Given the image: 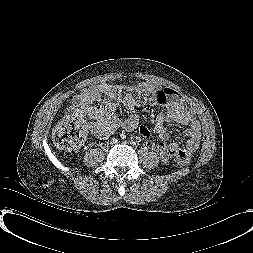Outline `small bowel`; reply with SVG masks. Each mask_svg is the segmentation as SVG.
<instances>
[{
  "label": "small bowel",
  "instance_id": "c3829d8e",
  "mask_svg": "<svg viewBox=\"0 0 253 253\" xmlns=\"http://www.w3.org/2000/svg\"><path fill=\"white\" fill-rule=\"evenodd\" d=\"M138 89L153 94L152 100L156 107L161 108L155 117L154 130L161 144L156 146V153L163 163H167L171 154L177 148H185L189 152L199 146L201 127L195 111L188 102L170 88L161 87L150 82L137 83ZM108 87L98 84L83 89L72 99L73 114L80 117L98 138L105 139L120 128L134 130L137 128V104L134 100L125 98L122 103L128 111L123 118L115 113V103L107 100ZM97 103V104H96ZM167 122L187 125L184 137L180 141L169 142L170 132ZM139 134L144 138L151 137V131L146 126L139 127Z\"/></svg>",
  "mask_w": 253,
  "mask_h": 253
}]
</instances>
